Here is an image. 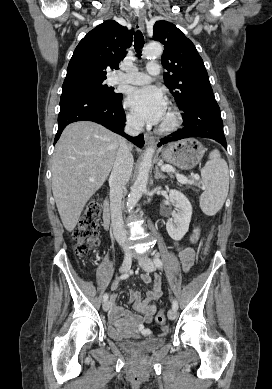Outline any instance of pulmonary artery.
<instances>
[{
	"mask_svg": "<svg viewBox=\"0 0 272 389\" xmlns=\"http://www.w3.org/2000/svg\"><path fill=\"white\" fill-rule=\"evenodd\" d=\"M147 73L139 71H131L128 73H119L112 79L114 84L127 83L133 85L146 84L151 80V76H156L160 73V65L157 62H149L146 67Z\"/></svg>",
	"mask_w": 272,
	"mask_h": 389,
	"instance_id": "pulmonary-artery-1",
	"label": "pulmonary artery"
}]
</instances>
